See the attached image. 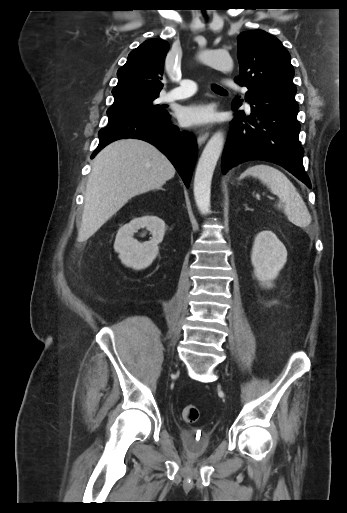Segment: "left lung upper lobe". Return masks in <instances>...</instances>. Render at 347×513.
<instances>
[{"label":"left lung upper lobe","instance_id":"1","mask_svg":"<svg viewBox=\"0 0 347 513\" xmlns=\"http://www.w3.org/2000/svg\"><path fill=\"white\" fill-rule=\"evenodd\" d=\"M240 74L235 81L248 90L296 93L290 55L280 40L263 30L245 31L238 38Z\"/></svg>","mask_w":347,"mask_h":513}]
</instances>
